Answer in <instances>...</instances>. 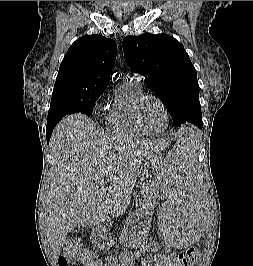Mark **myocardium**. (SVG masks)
<instances>
[{
    "mask_svg": "<svg viewBox=\"0 0 253 266\" xmlns=\"http://www.w3.org/2000/svg\"><path fill=\"white\" fill-rule=\"evenodd\" d=\"M148 99L155 100L161 106V108L164 111L165 118H166V125H165L164 129L160 132H152V131L147 130L141 122L140 109H141L143 102L148 100ZM132 117H133V121H134L136 127L144 135H148V136H162L168 131L169 126H170V116H169V112H168V109H167L165 103L158 96H156L154 94H150V93H143L135 99L133 106H132Z\"/></svg>",
    "mask_w": 253,
    "mask_h": 266,
    "instance_id": "f54148a6",
    "label": "myocardium"
}]
</instances>
